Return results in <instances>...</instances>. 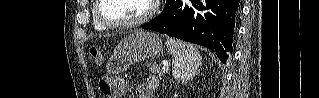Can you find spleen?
I'll list each match as a JSON object with an SVG mask.
<instances>
[{
	"label": "spleen",
	"instance_id": "1",
	"mask_svg": "<svg viewBox=\"0 0 319 98\" xmlns=\"http://www.w3.org/2000/svg\"><path fill=\"white\" fill-rule=\"evenodd\" d=\"M166 46L173 55L172 73L176 80L187 81L198 72L202 56L198 49L180 40L168 38Z\"/></svg>",
	"mask_w": 319,
	"mask_h": 98
}]
</instances>
